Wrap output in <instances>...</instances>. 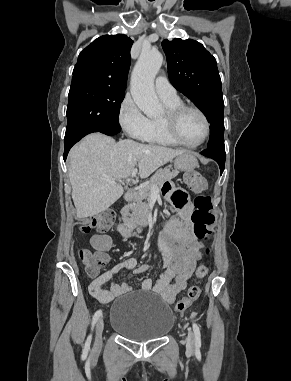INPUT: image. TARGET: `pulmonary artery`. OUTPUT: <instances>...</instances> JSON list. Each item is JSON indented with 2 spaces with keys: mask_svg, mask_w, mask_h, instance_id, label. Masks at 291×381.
<instances>
[{
  "mask_svg": "<svg viewBox=\"0 0 291 381\" xmlns=\"http://www.w3.org/2000/svg\"><path fill=\"white\" fill-rule=\"evenodd\" d=\"M155 89L158 96L164 100H174L178 98L176 89L164 76H159L155 80Z\"/></svg>",
  "mask_w": 291,
  "mask_h": 381,
  "instance_id": "obj_1",
  "label": "pulmonary artery"
}]
</instances>
